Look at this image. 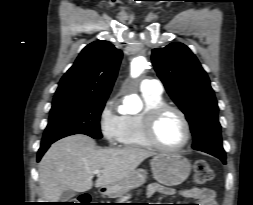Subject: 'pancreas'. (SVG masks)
<instances>
[{"mask_svg":"<svg viewBox=\"0 0 253 205\" xmlns=\"http://www.w3.org/2000/svg\"><path fill=\"white\" fill-rule=\"evenodd\" d=\"M131 197L130 194H126L125 196H120L118 203H125Z\"/></svg>","mask_w":253,"mask_h":205,"instance_id":"cf45deb5","label":"pancreas"}]
</instances>
